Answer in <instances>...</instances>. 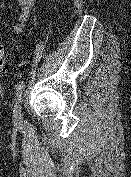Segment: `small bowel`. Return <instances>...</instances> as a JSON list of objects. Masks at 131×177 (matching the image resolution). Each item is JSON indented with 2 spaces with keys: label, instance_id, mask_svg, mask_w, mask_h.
<instances>
[{
  "label": "small bowel",
  "instance_id": "small-bowel-1",
  "mask_svg": "<svg viewBox=\"0 0 131 177\" xmlns=\"http://www.w3.org/2000/svg\"><path fill=\"white\" fill-rule=\"evenodd\" d=\"M17 2L20 6V12L13 27V33L20 35L24 33L26 29V25L30 17V12L34 6L35 0H17Z\"/></svg>",
  "mask_w": 131,
  "mask_h": 177
}]
</instances>
